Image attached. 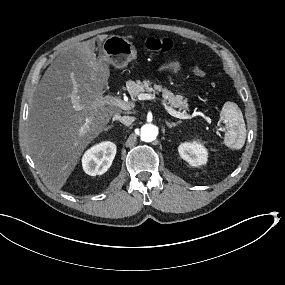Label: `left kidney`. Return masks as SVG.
<instances>
[{
	"label": "left kidney",
	"mask_w": 285,
	"mask_h": 285,
	"mask_svg": "<svg viewBox=\"0 0 285 285\" xmlns=\"http://www.w3.org/2000/svg\"><path fill=\"white\" fill-rule=\"evenodd\" d=\"M179 155L191 166L198 167L204 165L208 161L207 149L198 142H184L178 147Z\"/></svg>",
	"instance_id": "obj_1"
}]
</instances>
